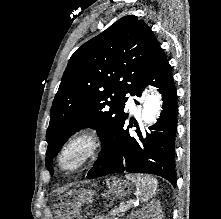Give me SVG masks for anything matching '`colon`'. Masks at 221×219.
<instances>
[{
	"mask_svg": "<svg viewBox=\"0 0 221 219\" xmlns=\"http://www.w3.org/2000/svg\"><path fill=\"white\" fill-rule=\"evenodd\" d=\"M60 209L64 214L65 219H79V216L75 211V204L65 201Z\"/></svg>",
	"mask_w": 221,
	"mask_h": 219,
	"instance_id": "1",
	"label": "colon"
}]
</instances>
